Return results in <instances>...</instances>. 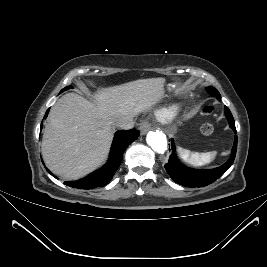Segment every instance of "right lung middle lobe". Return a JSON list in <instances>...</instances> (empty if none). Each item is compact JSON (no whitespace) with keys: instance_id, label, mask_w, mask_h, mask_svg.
<instances>
[{"instance_id":"right-lung-middle-lobe-1","label":"right lung middle lobe","mask_w":267,"mask_h":267,"mask_svg":"<svg viewBox=\"0 0 267 267\" xmlns=\"http://www.w3.org/2000/svg\"><path fill=\"white\" fill-rule=\"evenodd\" d=\"M70 88H72L71 86H67V87H65L62 91H64V90H67V89H70ZM61 91V92H62Z\"/></svg>"}]
</instances>
